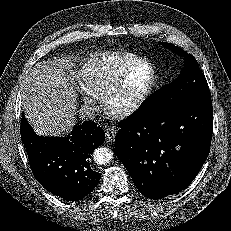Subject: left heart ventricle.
<instances>
[{
    "label": "left heart ventricle",
    "mask_w": 231,
    "mask_h": 231,
    "mask_svg": "<svg viewBox=\"0 0 231 231\" xmlns=\"http://www.w3.org/2000/svg\"><path fill=\"white\" fill-rule=\"evenodd\" d=\"M151 78L149 66L142 65L127 79L123 89L114 98L115 106H123L134 100L148 85Z\"/></svg>",
    "instance_id": "1"
}]
</instances>
